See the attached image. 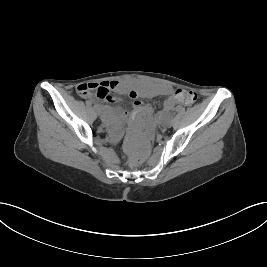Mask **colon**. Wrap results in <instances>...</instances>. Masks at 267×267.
<instances>
[{
    "label": "colon",
    "mask_w": 267,
    "mask_h": 267,
    "mask_svg": "<svg viewBox=\"0 0 267 267\" xmlns=\"http://www.w3.org/2000/svg\"><path fill=\"white\" fill-rule=\"evenodd\" d=\"M113 88L107 87L103 82L101 83H89L88 85H84L80 88V96L82 97H98L104 100H111L113 98ZM176 99L179 103L184 105H191L193 104L196 99L197 95L194 91L187 90V89H180L177 90Z\"/></svg>",
    "instance_id": "obj_1"
}]
</instances>
